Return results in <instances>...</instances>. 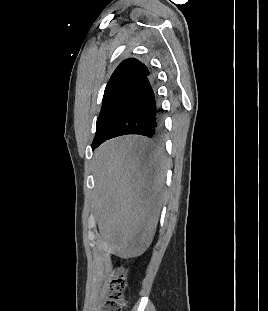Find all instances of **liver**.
<instances>
[{"label": "liver", "mask_w": 268, "mask_h": 311, "mask_svg": "<svg viewBox=\"0 0 268 311\" xmlns=\"http://www.w3.org/2000/svg\"><path fill=\"white\" fill-rule=\"evenodd\" d=\"M93 175L98 242L121 258L139 256L154 236L163 203V153L151 151L143 137H118L94 152Z\"/></svg>", "instance_id": "1"}]
</instances>
